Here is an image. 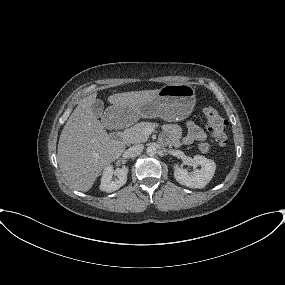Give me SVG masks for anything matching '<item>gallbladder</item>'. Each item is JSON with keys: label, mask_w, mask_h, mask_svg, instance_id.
I'll return each mask as SVG.
<instances>
[{"label": "gallbladder", "mask_w": 285, "mask_h": 285, "mask_svg": "<svg viewBox=\"0 0 285 285\" xmlns=\"http://www.w3.org/2000/svg\"><path fill=\"white\" fill-rule=\"evenodd\" d=\"M93 114L96 117H102L104 111V103L100 99H96L95 102L91 106Z\"/></svg>", "instance_id": "obj_1"}]
</instances>
